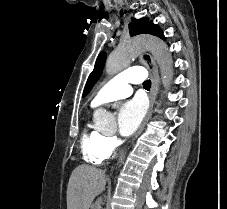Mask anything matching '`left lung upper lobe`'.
<instances>
[{"label":"left lung upper lobe","instance_id":"1","mask_svg":"<svg viewBox=\"0 0 227 209\" xmlns=\"http://www.w3.org/2000/svg\"><path fill=\"white\" fill-rule=\"evenodd\" d=\"M129 31H130V36H135V35L143 34V33H149V34L158 36V37L162 38L163 40L166 39L163 35V32L158 27V25H155L152 22H149L148 18H142L140 20H137V19L133 20L129 24ZM105 60H106V53L101 52L97 57L94 70L88 77L86 86L83 91V97H85L90 92V90L92 89V87L94 86L96 81L101 76V73L103 71V67L105 64Z\"/></svg>","mask_w":227,"mask_h":209}]
</instances>
